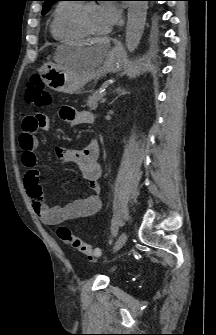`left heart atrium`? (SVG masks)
<instances>
[{
  "label": "left heart atrium",
  "mask_w": 216,
  "mask_h": 335,
  "mask_svg": "<svg viewBox=\"0 0 216 335\" xmlns=\"http://www.w3.org/2000/svg\"><path fill=\"white\" fill-rule=\"evenodd\" d=\"M99 8L107 31L111 30L120 22L121 10L117 4L106 1L102 3Z\"/></svg>",
  "instance_id": "left-heart-atrium-1"
}]
</instances>
